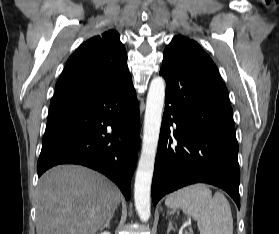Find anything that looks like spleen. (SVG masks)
Returning <instances> with one entry per match:
<instances>
[{"label":"spleen","instance_id":"obj_1","mask_svg":"<svg viewBox=\"0 0 279 234\" xmlns=\"http://www.w3.org/2000/svg\"><path fill=\"white\" fill-rule=\"evenodd\" d=\"M170 208H180L197 220L200 234H233V218L226 197L204 184H194L174 193L165 200Z\"/></svg>","mask_w":279,"mask_h":234}]
</instances>
